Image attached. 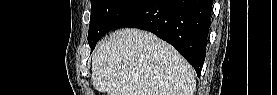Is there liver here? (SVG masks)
I'll use <instances>...</instances> for the list:
<instances>
[{
	"label": "liver",
	"instance_id": "obj_1",
	"mask_svg": "<svg viewBox=\"0 0 277 95\" xmlns=\"http://www.w3.org/2000/svg\"><path fill=\"white\" fill-rule=\"evenodd\" d=\"M91 79L107 95H193L196 89L192 66L171 45L135 28L101 40Z\"/></svg>",
	"mask_w": 277,
	"mask_h": 95
}]
</instances>
